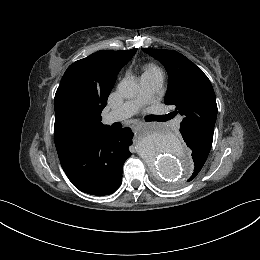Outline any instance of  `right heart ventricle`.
I'll return each instance as SVG.
<instances>
[{"label":"right heart ventricle","mask_w":260,"mask_h":260,"mask_svg":"<svg viewBox=\"0 0 260 260\" xmlns=\"http://www.w3.org/2000/svg\"><path fill=\"white\" fill-rule=\"evenodd\" d=\"M158 71H159L158 67H156L155 65L149 64L145 67L144 72L142 74V77L147 75V74H150V73H153V72H158Z\"/></svg>","instance_id":"obj_1"}]
</instances>
